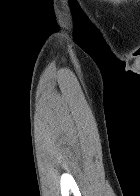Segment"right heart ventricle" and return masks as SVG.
<instances>
[{"mask_svg":"<svg viewBox=\"0 0 140 196\" xmlns=\"http://www.w3.org/2000/svg\"><path fill=\"white\" fill-rule=\"evenodd\" d=\"M96 192H108V191H96Z\"/></svg>","mask_w":140,"mask_h":196,"instance_id":"e07e8e85","label":"right heart ventricle"}]
</instances>
